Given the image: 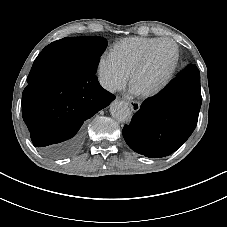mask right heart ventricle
Masks as SVG:
<instances>
[{
	"instance_id": "obj_1",
	"label": "right heart ventricle",
	"mask_w": 227,
	"mask_h": 227,
	"mask_svg": "<svg viewBox=\"0 0 227 227\" xmlns=\"http://www.w3.org/2000/svg\"><path fill=\"white\" fill-rule=\"evenodd\" d=\"M158 39L138 36L122 38L113 44L109 56L129 75L146 49Z\"/></svg>"
}]
</instances>
